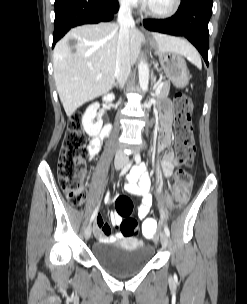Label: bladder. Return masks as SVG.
<instances>
[{"label":"bladder","mask_w":247,"mask_h":304,"mask_svg":"<svg viewBox=\"0 0 247 304\" xmlns=\"http://www.w3.org/2000/svg\"><path fill=\"white\" fill-rule=\"evenodd\" d=\"M154 253V247L133 240H103L93 246L95 260L115 274L143 269L152 260Z\"/></svg>","instance_id":"bladder-1"}]
</instances>
